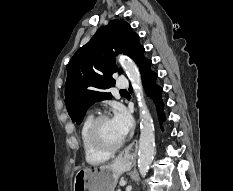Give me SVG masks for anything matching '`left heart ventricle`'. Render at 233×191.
<instances>
[{
	"mask_svg": "<svg viewBox=\"0 0 233 191\" xmlns=\"http://www.w3.org/2000/svg\"><path fill=\"white\" fill-rule=\"evenodd\" d=\"M98 137L102 144L109 147L116 145L123 139L111 119L101 122L98 128Z\"/></svg>",
	"mask_w": 233,
	"mask_h": 191,
	"instance_id": "1",
	"label": "left heart ventricle"
}]
</instances>
